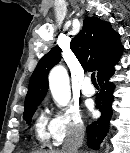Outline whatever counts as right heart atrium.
<instances>
[{
    "instance_id": "right-heart-atrium-1",
    "label": "right heart atrium",
    "mask_w": 130,
    "mask_h": 153,
    "mask_svg": "<svg viewBox=\"0 0 130 153\" xmlns=\"http://www.w3.org/2000/svg\"><path fill=\"white\" fill-rule=\"evenodd\" d=\"M54 85L57 83L54 82ZM83 130L84 121L81 113L73 106L59 109L51 121L52 141L56 146L81 135Z\"/></svg>"
}]
</instances>
